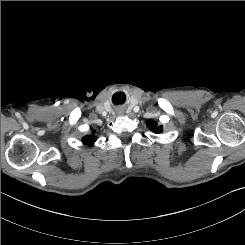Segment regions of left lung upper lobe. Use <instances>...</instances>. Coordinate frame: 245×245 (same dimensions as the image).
<instances>
[{
  "label": "left lung upper lobe",
  "mask_w": 245,
  "mask_h": 245,
  "mask_svg": "<svg viewBox=\"0 0 245 245\" xmlns=\"http://www.w3.org/2000/svg\"><path fill=\"white\" fill-rule=\"evenodd\" d=\"M147 126H148V128H149L152 132H155V133H157V134H159V133L162 132V126H158V125H157V122H155V121L150 120V121L147 123Z\"/></svg>",
  "instance_id": "5c2ea615"
}]
</instances>
